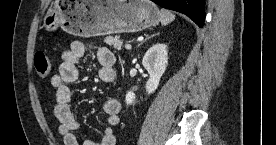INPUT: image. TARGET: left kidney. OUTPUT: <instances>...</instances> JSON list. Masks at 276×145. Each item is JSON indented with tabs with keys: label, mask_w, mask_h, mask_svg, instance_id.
I'll list each match as a JSON object with an SVG mask.
<instances>
[{
	"label": "left kidney",
	"mask_w": 276,
	"mask_h": 145,
	"mask_svg": "<svg viewBox=\"0 0 276 145\" xmlns=\"http://www.w3.org/2000/svg\"><path fill=\"white\" fill-rule=\"evenodd\" d=\"M142 64L150 75L146 82V92L149 95L158 88L160 79L166 70L168 64L167 45L158 43L150 47L142 59ZM135 98V94L129 91L126 94V104H134Z\"/></svg>",
	"instance_id": "1"
}]
</instances>
